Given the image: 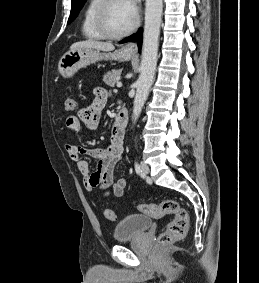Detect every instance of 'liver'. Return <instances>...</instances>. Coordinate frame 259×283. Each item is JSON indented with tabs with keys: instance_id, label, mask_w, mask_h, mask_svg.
<instances>
[{
	"instance_id": "6515ba94",
	"label": "liver",
	"mask_w": 259,
	"mask_h": 283,
	"mask_svg": "<svg viewBox=\"0 0 259 283\" xmlns=\"http://www.w3.org/2000/svg\"><path fill=\"white\" fill-rule=\"evenodd\" d=\"M92 48L101 51H112L114 50V45L109 42H101L95 40H86V41H79L71 45L70 50L78 49V48Z\"/></svg>"
}]
</instances>
